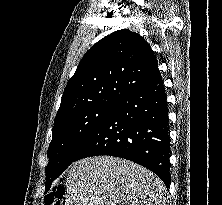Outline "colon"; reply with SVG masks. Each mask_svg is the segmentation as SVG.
<instances>
[{"label": "colon", "mask_w": 222, "mask_h": 205, "mask_svg": "<svg viewBox=\"0 0 222 205\" xmlns=\"http://www.w3.org/2000/svg\"><path fill=\"white\" fill-rule=\"evenodd\" d=\"M65 189L63 186H55L45 197V205H63Z\"/></svg>", "instance_id": "colon-1"}]
</instances>
